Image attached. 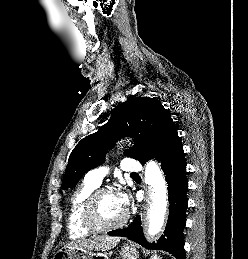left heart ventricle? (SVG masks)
Wrapping results in <instances>:
<instances>
[{
	"label": "left heart ventricle",
	"instance_id": "obj_1",
	"mask_svg": "<svg viewBox=\"0 0 248 259\" xmlns=\"http://www.w3.org/2000/svg\"><path fill=\"white\" fill-rule=\"evenodd\" d=\"M126 209L120 203L117 193H103L98 201L97 214L103 223H114L119 221L125 214Z\"/></svg>",
	"mask_w": 248,
	"mask_h": 259
}]
</instances>
